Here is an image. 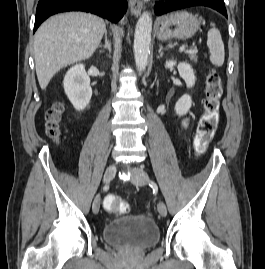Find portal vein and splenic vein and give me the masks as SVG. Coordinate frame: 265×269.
I'll return each mask as SVG.
<instances>
[{
	"label": "portal vein and splenic vein",
	"instance_id": "portal-vein-and-splenic-vein-1",
	"mask_svg": "<svg viewBox=\"0 0 265 269\" xmlns=\"http://www.w3.org/2000/svg\"><path fill=\"white\" fill-rule=\"evenodd\" d=\"M187 48V45H183L179 48V51L180 52H187V53H196L198 50L196 48L194 49H186Z\"/></svg>",
	"mask_w": 265,
	"mask_h": 269
}]
</instances>
